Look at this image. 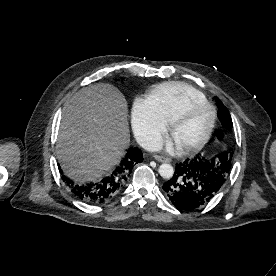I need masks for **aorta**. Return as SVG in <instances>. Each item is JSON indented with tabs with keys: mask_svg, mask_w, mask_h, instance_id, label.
<instances>
[{
	"mask_svg": "<svg viewBox=\"0 0 276 276\" xmlns=\"http://www.w3.org/2000/svg\"><path fill=\"white\" fill-rule=\"evenodd\" d=\"M158 172L162 178L170 179L174 174V168L170 164L163 163L160 165Z\"/></svg>",
	"mask_w": 276,
	"mask_h": 276,
	"instance_id": "1",
	"label": "aorta"
}]
</instances>
